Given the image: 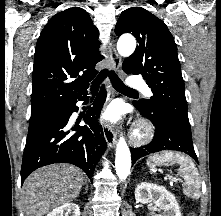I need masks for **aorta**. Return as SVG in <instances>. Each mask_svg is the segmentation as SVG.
Wrapping results in <instances>:
<instances>
[{
    "mask_svg": "<svg viewBox=\"0 0 221 216\" xmlns=\"http://www.w3.org/2000/svg\"><path fill=\"white\" fill-rule=\"evenodd\" d=\"M136 48V40L132 35H122L117 42V51L123 57L130 56ZM131 154L127 143L120 137L116 147L115 169L120 180H125L130 173Z\"/></svg>",
    "mask_w": 221,
    "mask_h": 216,
    "instance_id": "aorta-1",
    "label": "aorta"
}]
</instances>
